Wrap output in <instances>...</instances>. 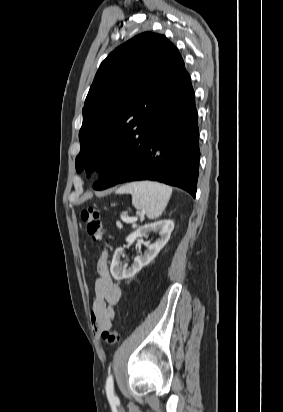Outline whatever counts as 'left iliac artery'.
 Returning <instances> with one entry per match:
<instances>
[{
    "instance_id": "44dca946",
    "label": "left iliac artery",
    "mask_w": 283,
    "mask_h": 412,
    "mask_svg": "<svg viewBox=\"0 0 283 412\" xmlns=\"http://www.w3.org/2000/svg\"><path fill=\"white\" fill-rule=\"evenodd\" d=\"M106 394L109 401L117 402L118 398L114 394V383H113V376L109 374L107 381H106Z\"/></svg>"
}]
</instances>
